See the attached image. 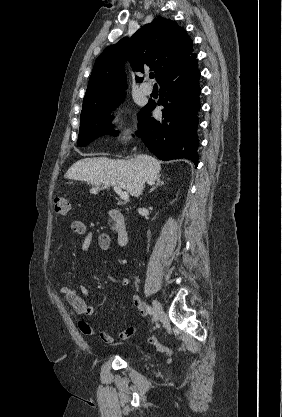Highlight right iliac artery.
I'll list each match as a JSON object with an SVG mask.
<instances>
[{"label": "right iliac artery", "instance_id": "82829eb1", "mask_svg": "<svg viewBox=\"0 0 282 417\" xmlns=\"http://www.w3.org/2000/svg\"><path fill=\"white\" fill-rule=\"evenodd\" d=\"M139 307L142 310H145L147 314H150V315L153 314V309L150 306L146 305L145 303L140 304Z\"/></svg>", "mask_w": 282, "mask_h": 417}]
</instances>
